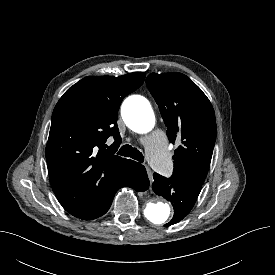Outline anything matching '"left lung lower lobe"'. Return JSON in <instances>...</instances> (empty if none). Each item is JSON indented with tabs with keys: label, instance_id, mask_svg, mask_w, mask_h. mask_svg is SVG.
<instances>
[{
	"label": "left lung lower lobe",
	"instance_id": "1",
	"mask_svg": "<svg viewBox=\"0 0 275 275\" xmlns=\"http://www.w3.org/2000/svg\"><path fill=\"white\" fill-rule=\"evenodd\" d=\"M152 188L154 192L170 200L174 207V216L167 226L182 220L194 206L201 191V185L174 176L163 177L154 173Z\"/></svg>",
	"mask_w": 275,
	"mask_h": 275
}]
</instances>
